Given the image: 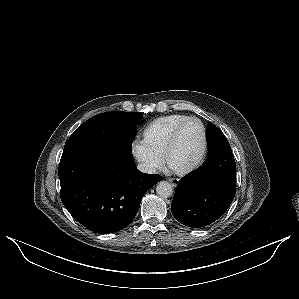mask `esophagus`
Segmentation results:
<instances>
[{"label": "esophagus", "instance_id": "obj_1", "mask_svg": "<svg viewBox=\"0 0 299 299\" xmlns=\"http://www.w3.org/2000/svg\"><path fill=\"white\" fill-rule=\"evenodd\" d=\"M168 181L172 184L173 187H177L179 184V180L178 179H168Z\"/></svg>", "mask_w": 299, "mask_h": 299}]
</instances>
